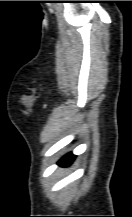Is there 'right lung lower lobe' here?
<instances>
[{"label":"right lung lower lobe","instance_id":"obj_1","mask_svg":"<svg viewBox=\"0 0 132 217\" xmlns=\"http://www.w3.org/2000/svg\"><path fill=\"white\" fill-rule=\"evenodd\" d=\"M76 156H74L72 153H69L67 155H65L60 161L59 163L62 164V165H70L73 160L75 159Z\"/></svg>","mask_w":132,"mask_h":217}]
</instances>
